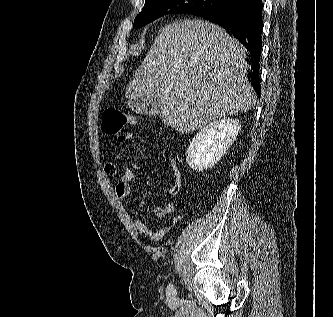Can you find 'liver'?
I'll return each mask as SVG.
<instances>
[{
  "mask_svg": "<svg viewBox=\"0 0 333 317\" xmlns=\"http://www.w3.org/2000/svg\"><path fill=\"white\" fill-rule=\"evenodd\" d=\"M245 57L243 45L219 26L199 19L174 21L159 31L125 96L160 98L164 124L193 132L255 107Z\"/></svg>",
  "mask_w": 333,
  "mask_h": 317,
  "instance_id": "6515ba94",
  "label": "liver"
}]
</instances>
